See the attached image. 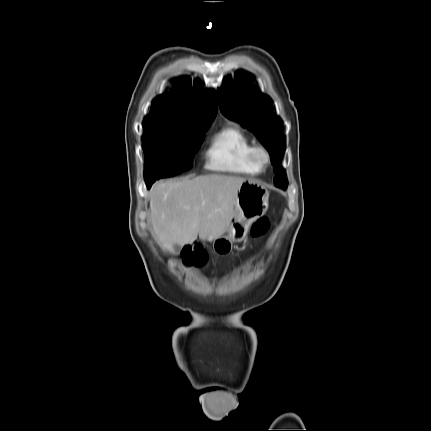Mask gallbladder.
Returning <instances> with one entry per match:
<instances>
[{
	"label": "gallbladder",
	"instance_id": "obj_1",
	"mask_svg": "<svg viewBox=\"0 0 431 431\" xmlns=\"http://www.w3.org/2000/svg\"><path fill=\"white\" fill-rule=\"evenodd\" d=\"M180 250H181V246L180 245H178V244L173 245L172 251H173L174 254H178L180 252Z\"/></svg>",
	"mask_w": 431,
	"mask_h": 431
}]
</instances>
